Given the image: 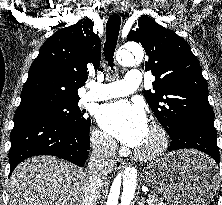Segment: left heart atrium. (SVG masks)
<instances>
[{"instance_id":"39dd6f15","label":"left heart atrium","mask_w":222,"mask_h":205,"mask_svg":"<svg viewBox=\"0 0 222 205\" xmlns=\"http://www.w3.org/2000/svg\"><path fill=\"white\" fill-rule=\"evenodd\" d=\"M97 118L104 130L131 147H138L149 130L143 108L126 100L102 106Z\"/></svg>"}]
</instances>
